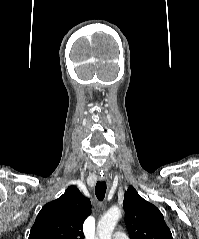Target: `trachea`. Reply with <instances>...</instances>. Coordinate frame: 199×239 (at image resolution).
<instances>
[{
    "instance_id": "1",
    "label": "trachea",
    "mask_w": 199,
    "mask_h": 239,
    "mask_svg": "<svg viewBox=\"0 0 199 239\" xmlns=\"http://www.w3.org/2000/svg\"><path fill=\"white\" fill-rule=\"evenodd\" d=\"M95 194L99 201H102L106 194V182L98 181L95 187Z\"/></svg>"
}]
</instances>
